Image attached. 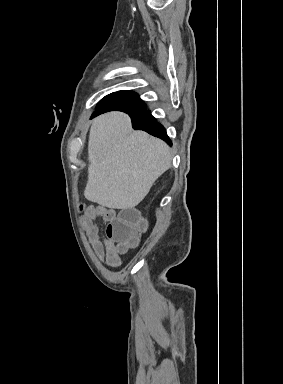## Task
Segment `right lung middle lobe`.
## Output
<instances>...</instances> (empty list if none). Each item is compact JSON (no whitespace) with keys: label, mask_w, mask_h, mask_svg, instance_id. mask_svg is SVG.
Masks as SVG:
<instances>
[{"label":"right lung middle lobe","mask_w":283,"mask_h":384,"mask_svg":"<svg viewBox=\"0 0 283 384\" xmlns=\"http://www.w3.org/2000/svg\"><path fill=\"white\" fill-rule=\"evenodd\" d=\"M116 107H128L136 110H145L144 102L137 93L131 91H119L105 96L97 105V110H105Z\"/></svg>","instance_id":"1"}]
</instances>
